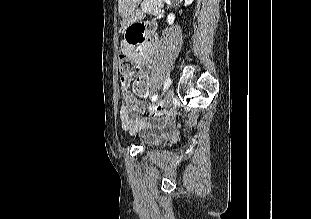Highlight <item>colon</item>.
<instances>
[{"label":"colon","instance_id":"colon-1","mask_svg":"<svg viewBox=\"0 0 311 219\" xmlns=\"http://www.w3.org/2000/svg\"><path fill=\"white\" fill-rule=\"evenodd\" d=\"M144 27L140 24L132 25L129 27L126 31L125 39L132 43L137 41L140 38L141 31ZM118 68L119 72L121 74V85L126 84L127 81V75L132 73L135 68V62L133 59L126 55H120L118 59ZM135 91L139 95H146L147 94V82L140 78L135 83Z\"/></svg>","mask_w":311,"mask_h":219}]
</instances>
